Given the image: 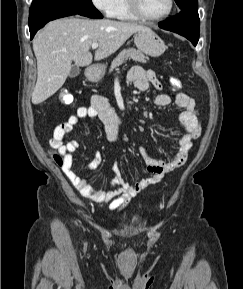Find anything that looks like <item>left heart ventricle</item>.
Segmentation results:
<instances>
[{"label": "left heart ventricle", "mask_w": 243, "mask_h": 289, "mask_svg": "<svg viewBox=\"0 0 243 289\" xmlns=\"http://www.w3.org/2000/svg\"><path fill=\"white\" fill-rule=\"evenodd\" d=\"M141 7L148 16H159L169 7V0H141Z\"/></svg>", "instance_id": "obj_1"}]
</instances>
